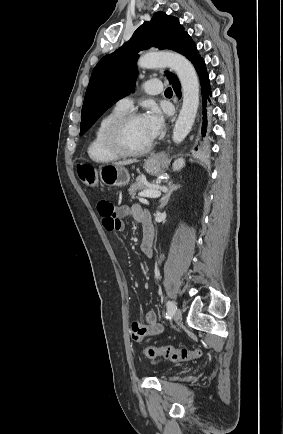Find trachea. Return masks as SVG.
Listing matches in <instances>:
<instances>
[{"label":"trachea","mask_w":283,"mask_h":434,"mask_svg":"<svg viewBox=\"0 0 283 434\" xmlns=\"http://www.w3.org/2000/svg\"><path fill=\"white\" fill-rule=\"evenodd\" d=\"M172 94V89L170 88V87H168L166 90H165V95H171Z\"/></svg>","instance_id":"trachea-1"}]
</instances>
